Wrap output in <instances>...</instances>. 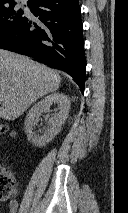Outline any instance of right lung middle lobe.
Listing matches in <instances>:
<instances>
[{"label": "right lung middle lobe", "mask_w": 128, "mask_h": 213, "mask_svg": "<svg viewBox=\"0 0 128 213\" xmlns=\"http://www.w3.org/2000/svg\"><path fill=\"white\" fill-rule=\"evenodd\" d=\"M15 4L0 6V41L9 36L25 20L23 11L15 10Z\"/></svg>", "instance_id": "1"}]
</instances>
